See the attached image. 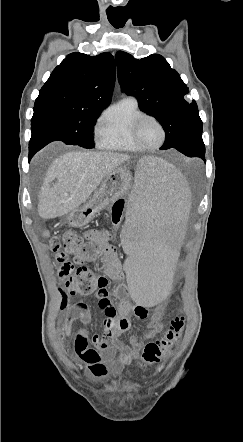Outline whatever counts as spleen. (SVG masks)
Segmentation results:
<instances>
[{
    "label": "spleen",
    "instance_id": "obj_1",
    "mask_svg": "<svg viewBox=\"0 0 243 442\" xmlns=\"http://www.w3.org/2000/svg\"><path fill=\"white\" fill-rule=\"evenodd\" d=\"M130 185L127 217L121 234L126 256L122 265L128 280L126 295L136 307H160L172 291L175 263L180 258L189 214L190 193L184 172L171 163L146 157L136 164Z\"/></svg>",
    "mask_w": 243,
    "mask_h": 442
}]
</instances>
